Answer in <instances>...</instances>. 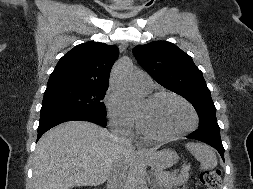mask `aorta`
Wrapping results in <instances>:
<instances>
[{"mask_svg": "<svg viewBox=\"0 0 253 189\" xmlns=\"http://www.w3.org/2000/svg\"><path fill=\"white\" fill-rule=\"evenodd\" d=\"M133 66L128 60L118 63L112 71V84L129 108H135L142 102L141 94L133 87ZM132 189H146V182L141 172H137L133 179Z\"/></svg>", "mask_w": 253, "mask_h": 189, "instance_id": "aorta-1", "label": "aorta"}]
</instances>
